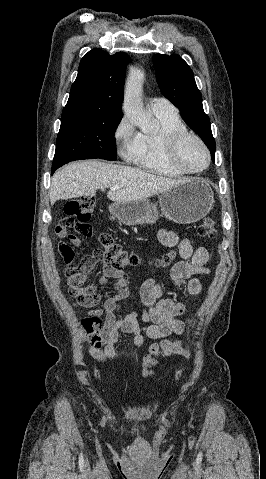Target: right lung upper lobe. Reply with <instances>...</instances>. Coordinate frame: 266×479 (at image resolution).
Segmentation results:
<instances>
[{"instance_id": "1", "label": "right lung upper lobe", "mask_w": 266, "mask_h": 479, "mask_svg": "<svg viewBox=\"0 0 266 479\" xmlns=\"http://www.w3.org/2000/svg\"><path fill=\"white\" fill-rule=\"evenodd\" d=\"M130 57L124 52L109 55L94 48L80 61L78 75L62 115H120L124 96L126 66Z\"/></svg>"}]
</instances>
